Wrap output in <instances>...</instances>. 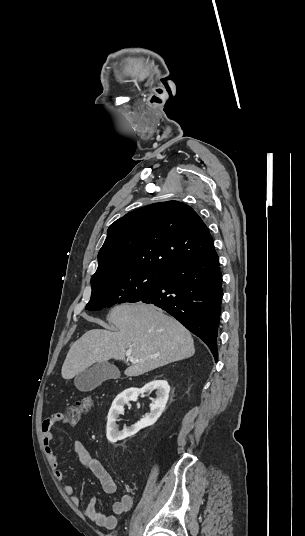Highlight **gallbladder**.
<instances>
[{"instance_id":"1","label":"gallbladder","mask_w":305,"mask_h":536,"mask_svg":"<svg viewBox=\"0 0 305 536\" xmlns=\"http://www.w3.org/2000/svg\"><path fill=\"white\" fill-rule=\"evenodd\" d=\"M120 378V372L113 364L108 362H97L92 368H87L81 374H77L74 384L80 392H91L97 386H101L105 380H116Z\"/></svg>"}]
</instances>
